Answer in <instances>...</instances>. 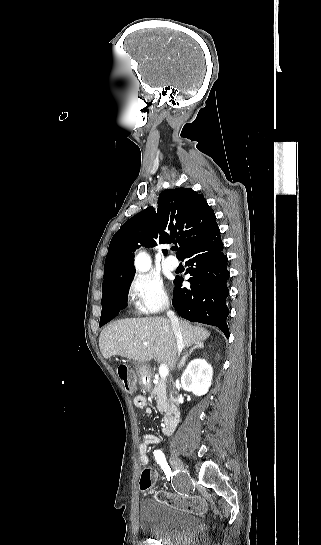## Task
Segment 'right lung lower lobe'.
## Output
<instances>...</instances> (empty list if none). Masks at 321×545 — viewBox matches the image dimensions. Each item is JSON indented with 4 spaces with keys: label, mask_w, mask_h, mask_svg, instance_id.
Listing matches in <instances>:
<instances>
[{
    "label": "right lung lower lobe",
    "mask_w": 321,
    "mask_h": 545,
    "mask_svg": "<svg viewBox=\"0 0 321 545\" xmlns=\"http://www.w3.org/2000/svg\"><path fill=\"white\" fill-rule=\"evenodd\" d=\"M188 259L186 273L190 289H181L182 277L174 280L176 285L172 304L178 314L188 319L217 326L229 338L226 318L229 309L226 298L229 295L227 280L229 271L227 257L223 253V243L218 225L194 243L182 258ZM127 295H112L102 308L104 324L118 315L127 305Z\"/></svg>",
    "instance_id": "1"
}]
</instances>
